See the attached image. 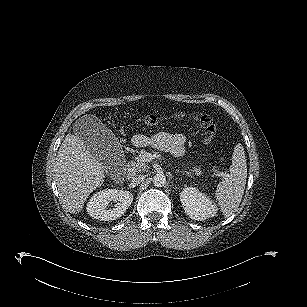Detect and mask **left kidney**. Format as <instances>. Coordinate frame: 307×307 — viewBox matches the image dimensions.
<instances>
[{
  "mask_svg": "<svg viewBox=\"0 0 307 307\" xmlns=\"http://www.w3.org/2000/svg\"><path fill=\"white\" fill-rule=\"evenodd\" d=\"M181 203L186 214L193 220L203 221L214 212L210 201L195 188L182 191Z\"/></svg>",
  "mask_w": 307,
  "mask_h": 307,
  "instance_id": "left-kidney-1",
  "label": "left kidney"
}]
</instances>
